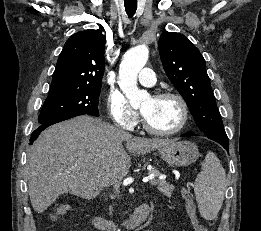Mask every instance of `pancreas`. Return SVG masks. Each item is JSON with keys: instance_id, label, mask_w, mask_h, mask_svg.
<instances>
[{"instance_id": "obj_1", "label": "pancreas", "mask_w": 261, "mask_h": 231, "mask_svg": "<svg viewBox=\"0 0 261 231\" xmlns=\"http://www.w3.org/2000/svg\"><path fill=\"white\" fill-rule=\"evenodd\" d=\"M149 174H153L155 177H159L161 175V173L156 170L153 169L149 172ZM154 183L153 185L157 186V189L165 196L167 197H171L172 192L174 191L175 187L173 185L168 184L165 180L163 179H154Z\"/></svg>"}]
</instances>
